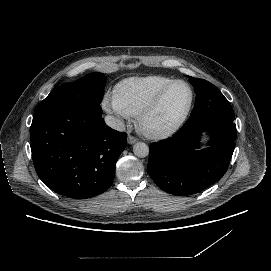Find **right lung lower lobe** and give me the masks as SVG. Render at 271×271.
I'll return each instance as SVG.
<instances>
[{
  "instance_id": "obj_1",
  "label": "right lung lower lobe",
  "mask_w": 271,
  "mask_h": 271,
  "mask_svg": "<svg viewBox=\"0 0 271 271\" xmlns=\"http://www.w3.org/2000/svg\"><path fill=\"white\" fill-rule=\"evenodd\" d=\"M101 115L94 108H63L34 116L33 163L40 179L56 193L86 199L112 184L127 134L106 126Z\"/></svg>"
}]
</instances>
